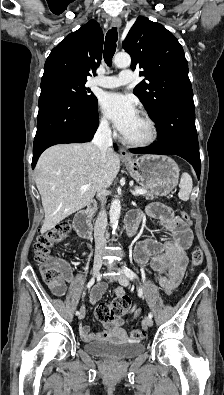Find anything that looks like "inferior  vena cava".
<instances>
[{"instance_id": "1", "label": "inferior vena cava", "mask_w": 224, "mask_h": 395, "mask_svg": "<svg viewBox=\"0 0 224 395\" xmlns=\"http://www.w3.org/2000/svg\"><path fill=\"white\" fill-rule=\"evenodd\" d=\"M93 144L96 145L101 154V162L106 161V154L111 150L112 138L111 129L107 120H102L94 135ZM106 189L101 188L97 191V198L101 201V210L97 216L94 226L95 251L99 253L106 244L105 230L107 226V213L104 205L106 203Z\"/></svg>"}]
</instances>
